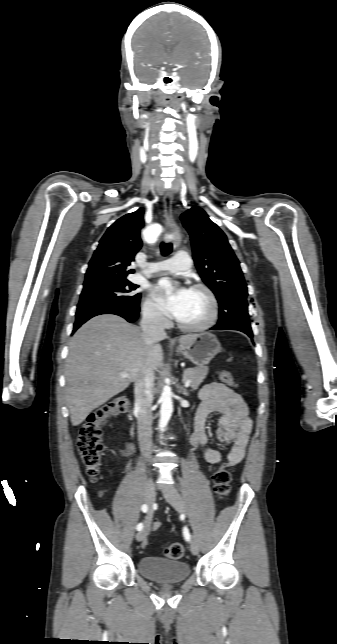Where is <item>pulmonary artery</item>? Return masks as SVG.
I'll return each instance as SVG.
<instances>
[{
	"label": "pulmonary artery",
	"instance_id": "pulmonary-artery-1",
	"mask_svg": "<svg viewBox=\"0 0 337 644\" xmlns=\"http://www.w3.org/2000/svg\"><path fill=\"white\" fill-rule=\"evenodd\" d=\"M190 267V256L185 252H178L168 260L151 264L148 272L156 273L160 271H170L173 273H181L188 270Z\"/></svg>",
	"mask_w": 337,
	"mask_h": 644
}]
</instances>
